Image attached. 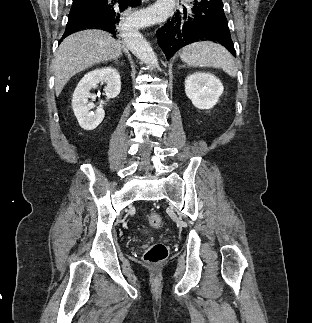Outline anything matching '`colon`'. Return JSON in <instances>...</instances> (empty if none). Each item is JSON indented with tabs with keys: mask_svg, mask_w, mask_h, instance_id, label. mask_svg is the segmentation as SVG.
Returning <instances> with one entry per match:
<instances>
[{
	"mask_svg": "<svg viewBox=\"0 0 312 323\" xmlns=\"http://www.w3.org/2000/svg\"><path fill=\"white\" fill-rule=\"evenodd\" d=\"M148 222L154 228L162 227V217L156 211L150 212L147 215ZM168 256V249L162 243H155L150 246L144 253L143 259L148 264H160L166 260Z\"/></svg>",
	"mask_w": 312,
	"mask_h": 323,
	"instance_id": "5ec220e1",
	"label": "colon"
}]
</instances>
